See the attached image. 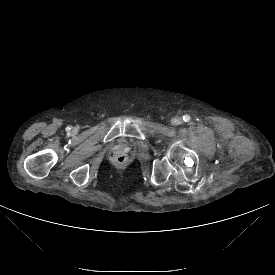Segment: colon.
<instances>
[{"mask_svg": "<svg viewBox=\"0 0 275 275\" xmlns=\"http://www.w3.org/2000/svg\"><path fill=\"white\" fill-rule=\"evenodd\" d=\"M115 160L117 163L122 164L125 162L126 157L124 155H118Z\"/></svg>", "mask_w": 275, "mask_h": 275, "instance_id": "obj_1", "label": "colon"}]
</instances>
